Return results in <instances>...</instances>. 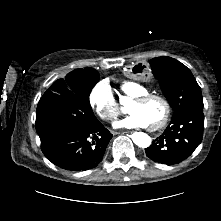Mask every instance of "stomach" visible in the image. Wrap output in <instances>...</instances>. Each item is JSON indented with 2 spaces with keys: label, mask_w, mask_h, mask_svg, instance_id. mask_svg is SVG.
Listing matches in <instances>:
<instances>
[{
  "label": "stomach",
  "mask_w": 221,
  "mask_h": 221,
  "mask_svg": "<svg viewBox=\"0 0 221 221\" xmlns=\"http://www.w3.org/2000/svg\"><path fill=\"white\" fill-rule=\"evenodd\" d=\"M128 75L134 81L146 82L152 76V69L146 62L136 61L129 66Z\"/></svg>",
  "instance_id": "stomach-1"
}]
</instances>
